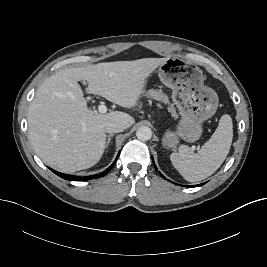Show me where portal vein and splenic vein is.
Returning <instances> with one entry per match:
<instances>
[{
    "label": "portal vein and splenic vein",
    "mask_w": 267,
    "mask_h": 267,
    "mask_svg": "<svg viewBox=\"0 0 267 267\" xmlns=\"http://www.w3.org/2000/svg\"><path fill=\"white\" fill-rule=\"evenodd\" d=\"M98 111H99V113H106L107 112V106H105V105H99L98 106Z\"/></svg>",
    "instance_id": "18ae733b"
}]
</instances>
